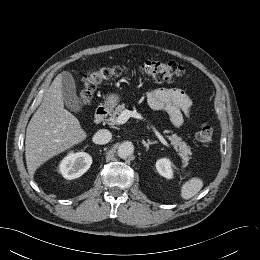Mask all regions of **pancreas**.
<instances>
[{"label": "pancreas", "mask_w": 260, "mask_h": 260, "mask_svg": "<svg viewBox=\"0 0 260 260\" xmlns=\"http://www.w3.org/2000/svg\"><path fill=\"white\" fill-rule=\"evenodd\" d=\"M125 110V104L118 105L115 110L110 114V117L106 119V123L109 125H114L117 123V116H119L122 111ZM164 133H172L167 135V138L170 140L171 144L174 146L178 155L182 158V167L185 168L188 165L190 160L189 155H191L190 147L179 137L176 133H173L171 130H166Z\"/></svg>", "instance_id": "cf45deb5"}]
</instances>
